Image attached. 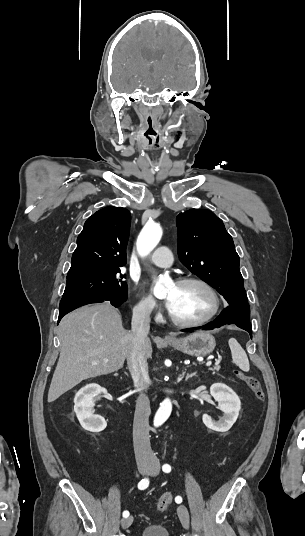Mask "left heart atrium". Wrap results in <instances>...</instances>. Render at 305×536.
Segmentation results:
<instances>
[{"label":"left heart atrium","mask_w":305,"mask_h":536,"mask_svg":"<svg viewBox=\"0 0 305 536\" xmlns=\"http://www.w3.org/2000/svg\"><path fill=\"white\" fill-rule=\"evenodd\" d=\"M166 306L170 308V306H171V303H170V301H169V300H167V301H166Z\"/></svg>","instance_id":"left-heart-atrium-1"}]
</instances>
